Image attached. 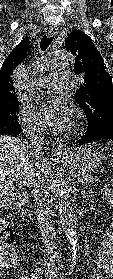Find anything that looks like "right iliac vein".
Returning <instances> with one entry per match:
<instances>
[{
	"instance_id": "obj_1",
	"label": "right iliac vein",
	"mask_w": 113,
	"mask_h": 279,
	"mask_svg": "<svg viewBox=\"0 0 113 279\" xmlns=\"http://www.w3.org/2000/svg\"><path fill=\"white\" fill-rule=\"evenodd\" d=\"M42 270L46 272V268H45V267H44V268H42Z\"/></svg>"
}]
</instances>
